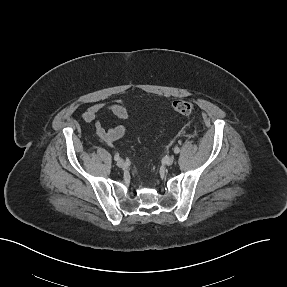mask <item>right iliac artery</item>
Listing matches in <instances>:
<instances>
[{"label": "right iliac artery", "mask_w": 287, "mask_h": 287, "mask_svg": "<svg viewBox=\"0 0 287 287\" xmlns=\"http://www.w3.org/2000/svg\"><path fill=\"white\" fill-rule=\"evenodd\" d=\"M119 159H120V156H119L118 154H115V155H114V160H115V161H118Z\"/></svg>", "instance_id": "right-iliac-artery-1"}]
</instances>
